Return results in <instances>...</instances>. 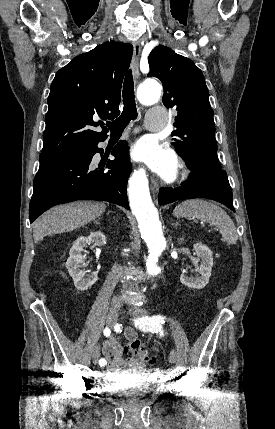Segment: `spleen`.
I'll use <instances>...</instances> for the list:
<instances>
[{"label":"spleen","mask_w":275,"mask_h":429,"mask_svg":"<svg viewBox=\"0 0 275 429\" xmlns=\"http://www.w3.org/2000/svg\"><path fill=\"white\" fill-rule=\"evenodd\" d=\"M173 214L177 217L197 218L216 226L222 235V241L227 244H236L238 240L236 227L230 216L211 202L202 199L186 200L176 206Z\"/></svg>","instance_id":"3e777b00"}]
</instances>
